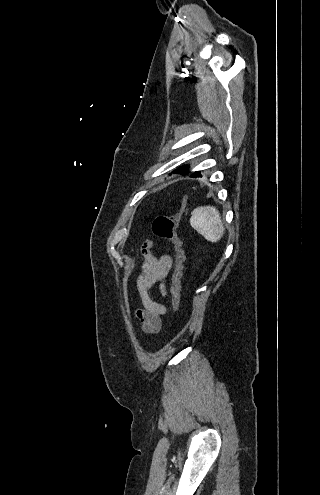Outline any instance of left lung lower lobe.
<instances>
[{"mask_svg":"<svg viewBox=\"0 0 320 495\" xmlns=\"http://www.w3.org/2000/svg\"><path fill=\"white\" fill-rule=\"evenodd\" d=\"M189 173H190V171H187V172H186V173H184V174H189ZM191 173H192V172H191ZM190 177H193V178H196V177H202V174H201V172H200V171H196V172H193V173L190 175Z\"/></svg>","mask_w":320,"mask_h":495,"instance_id":"obj_1","label":"left lung lower lobe"}]
</instances>
